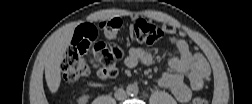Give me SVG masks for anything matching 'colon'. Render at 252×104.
I'll return each instance as SVG.
<instances>
[{
  "label": "colon",
  "instance_id": "5ec220e1",
  "mask_svg": "<svg viewBox=\"0 0 252 104\" xmlns=\"http://www.w3.org/2000/svg\"><path fill=\"white\" fill-rule=\"evenodd\" d=\"M122 29L123 23L119 18L105 20L98 25L88 23L80 25L74 32L72 45L63 56L61 71L64 79L68 82H76L89 74L84 54L97 38L105 39L107 42L96 43L94 53L109 77H115L117 75V61L122 56V50L116 41L120 38ZM131 29L135 40L146 45L160 41L168 33L166 28L142 18L134 20ZM192 102L193 104H204L205 100L201 97H195Z\"/></svg>",
  "mask_w": 252,
  "mask_h": 104
}]
</instances>
